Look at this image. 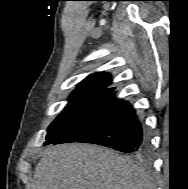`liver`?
<instances>
[{"label":"liver","instance_id":"obj_1","mask_svg":"<svg viewBox=\"0 0 188 189\" xmlns=\"http://www.w3.org/2000/svg\"><path fill=\"white\" fill-rule=\"evenodd\" d=\"M29 189H153L150 175L128 157L91 144L46 149Z\"/></svg>","mask_w":188,"mask_h":189}]
</instances>
